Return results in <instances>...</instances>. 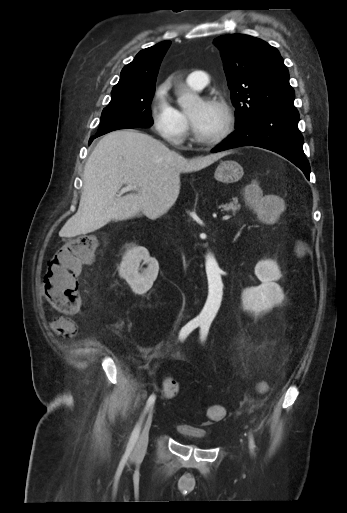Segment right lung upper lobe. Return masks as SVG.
Instances as JSON below:
<instances>
[{"instance_id": "obj_1", "label": "right lung upper lobe", "mask_w": 347, "mask_h": 513, "mask_svg": "<svg viewBox=\"0 0 347 513\" xmlns=\"http://www.w3.org/2000/svg\"><path fill=\"white\" fill-rule=\"evenodd\" d=\"M170 44V41H162L140 51L134 60L122 69L120 80L113 90L155 87L162 58Z\"/></svg>"}]
</instances>
